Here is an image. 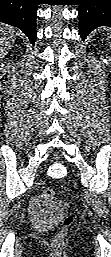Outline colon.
<instances>
[{
	"instance_id": "5ec220e1",
	"label": "colon",
	"mask_w": 111,
	"mask_h": 257,
	"mask_svg": "<svg viewBox=\"0 0 111 257\" xmlns=\"http://www.w3.org/2000/svg\"><path fill=\"white\" fill-rule=\"evenodd\" d=\"M54 190L51 188H44L41 192V196L40 198L42 200H45L47 202H49V204L51 205V207L55 210H63L64 207L61 203L56 202L54 199ZM73 223V215L69 212H64L61 215V224L63 226L62 230L60 232H58L55 236H54V243L56 244H60L63 241L64 238V234L66 232V230L72 225Z\"/></svg>"
}]
</instances>
